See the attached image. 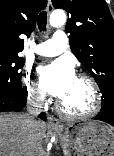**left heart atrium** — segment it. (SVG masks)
Returning <instances> with one entry per match:
<instances>
[{"label": "left heart atrium", "mask_w": 114, "mask_h": 156, "mask_svg": "<svg viewBox=\"0 0 114 156\" xmlns=\"http://www.w3.org/2000/svg\"><path fill=\"white\" fill-rule=\"evenodd\" d=\"M38 74L42 89L60 99L67 93L75 79L74 67L66 58L39 67Z\"/></svg>", "instance_id": "obj_1"}]
</instances>
